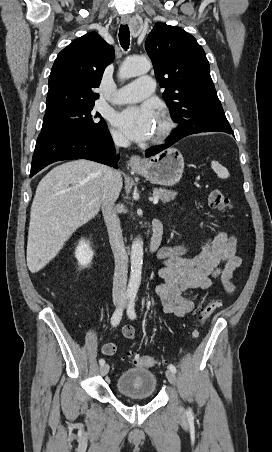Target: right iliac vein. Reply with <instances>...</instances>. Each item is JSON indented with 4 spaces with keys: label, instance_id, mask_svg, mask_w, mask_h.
Returning a JSON list of instances; mask_svg holds the SVG:
<instances>
[{
    "label": "right iliac vein",
    "instance_id": "right-iliac-vein-1",
    "mask_svg": "<svg viewBox=\"0 0 272 452\" xmlns=\"http://www.w3.org/2000/svg\"><path fill=\"white\" fill-rule=\"evenodd\" d=\"M115 305H116V306H119V305H120V302H119V301H116V302H115ZM108 372H109V365H108L107 363H105V364H103V365L100 367V373H101L102 376H105V375H107Z\"/></svg>",
    "mask_w": 272,
    "mask_h": 452
}]
</instances>
